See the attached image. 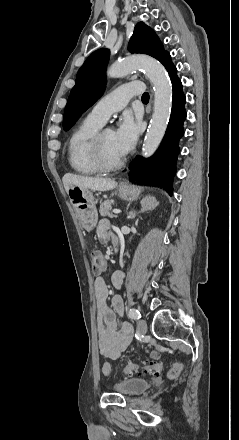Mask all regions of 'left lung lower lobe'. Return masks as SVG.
<instances>
[{"mask_svg": "<svg viewBox=\"0 0 239 440\" xmlns=\"http://www.w3.org/2000/svg\"><path fill=\"white\" fill-rule=\"evenodd\" d=\"M167 69L173 87V101L170 121L163 141L155 153L149 159L136 157L129 166L130 179L142 183L158 184L164 186L169 194H172V182L176 172L177 154L179 153L178 141L183 136V122L186 118L185 96L182 84L178 79L177 70L171 61L169 53L161 61Z\"/></svg>", "mask_w": 239, "mask_h": 440, "instance_id": "left-lung-lower-lobe-1", "label": "left lung lower lobe"}]
</instances>
